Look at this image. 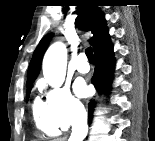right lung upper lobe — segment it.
<instances>
[{
  "label": "right lung upper lobe",
  "mask_w": 155,
  "mask_h": 141,
  "mask_svg": "<svg viewBox=\"0 0 155 141\" xmlns=\"http://www.w3.org/2000/svg\"><path fill=\"white\" fill-rule=\"evenodd\" d=\"M77 6V26L92 32L93 36L89 41L93 46L102 35L108 32L105 17L102 11L98 8V5L92 0H80ZM49 39L50 36H47L41 40L40 44L34 51L28 68L27 85H32L38 75L42 54L45 46L49 42Z\"/></svg>",
  "instance_id": "right-lung-upper-lobe-1"
}]
</instances>
